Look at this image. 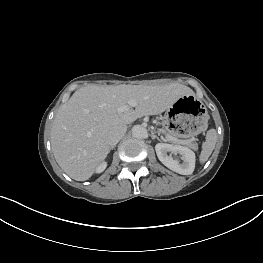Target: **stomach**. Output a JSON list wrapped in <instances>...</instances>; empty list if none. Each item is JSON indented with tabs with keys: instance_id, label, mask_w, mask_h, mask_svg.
I'll return each mask as SVG.
<instances>
[{
	"instance_id": "obj_1",
	"label": "stomach",
	"mask_w": 263,
	"mask_h": 263,
	"mask_svg": "<svg viewBox=\"0 0 263 263\" xmlns=\"http://www.w3.org/2000/svg\"><path fill=\"white\" fill-rule=\"evenodd\" d=\"M162 124L179 138H195L207 128L208 114L193 95H184L166 110Z\"/></svg>"
}]
</instances>
